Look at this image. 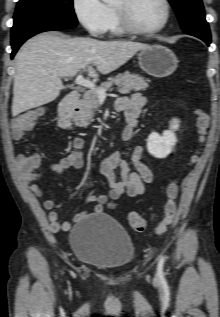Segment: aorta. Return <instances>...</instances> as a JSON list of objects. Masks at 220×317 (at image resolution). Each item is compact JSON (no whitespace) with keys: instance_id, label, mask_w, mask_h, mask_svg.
Instances as JSON below:
<instances>
[{"instance_id":"aorta-1","label":"aorta","mask_w":220,"mask_h":317,"mask_svg":"<svg viewBox=\"0 0 220 317\" xmlns=\"http://www.w3.org/2000/svg\"><path fill=\"white\" fill-rule=\"evenodd\" d=\"M105 3H112L114 2L115 0H103Z\"/></svg>"}]
</instances>
